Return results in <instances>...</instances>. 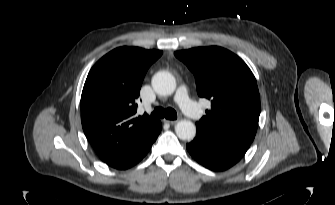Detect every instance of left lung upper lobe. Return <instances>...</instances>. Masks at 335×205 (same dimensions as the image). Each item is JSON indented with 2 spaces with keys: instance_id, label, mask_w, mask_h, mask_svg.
Segmentation results:
<instances>
[{
  "instance_id": "left-lung-upper-lobe-1",
  "label": "left lung upper lobe",
  "mask_w": 335,
  "mask_h": 205,
  "mask_svg": "<svg viewBox=\"0 0 335 205\" xmlns=\"http://www.w3.org/2000/svg\"><path fill=\"white\" fill-rule=\"evenodd\" d=\"M174 55L194 74L198 95L211 101V109L196 126L251 144L258 127L260 95L245 62L217 46L176 51Z\"/></svg>"
}]
</instances>
